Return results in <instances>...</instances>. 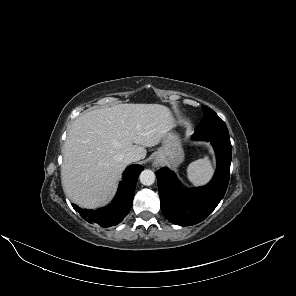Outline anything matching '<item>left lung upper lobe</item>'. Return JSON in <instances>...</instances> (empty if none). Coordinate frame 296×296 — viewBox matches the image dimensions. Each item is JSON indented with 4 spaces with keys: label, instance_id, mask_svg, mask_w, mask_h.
Returning a JSON list of instances; mask_svg holds the SVG:
<instances>
[{
    "label": "left lung upper lobe",
    "instance_id": "5c2ea615",
    "mask_svg": "<svg viewBox=\"0 0 296 296\" xmlns=\"http://www.w3.org/2000/svg\"><path fill=\"white\" fill-rule=\"evenodd\" d=\"M204 117L195 128V131L227 129L224 121L209 107L202 105Z\"/></svg>",
    "mask_w": 296,
    "mask_h": 296
}]
</instances>
